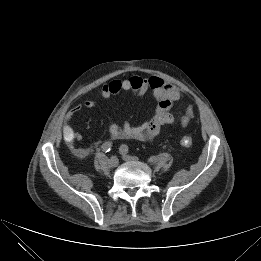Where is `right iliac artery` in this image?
<instances>
[{
    "label": "right iliac artery",
    "instance_id": "right-iliac-artery-1",
    "mask_svg": "<svg viewBox=\"0 0 261 261\" xmlns=\"http://www.w3.org/2000/svg\"><path fill=\"white\" fill-rule=\"evenodd\" d=\"M101 148H102L103 152H105V153L109 152L112 148V142L107 141V142L103 143Z\"/></svg>",
    "mask_w": 261,
    "mask_h": 261
}]
</instances>
